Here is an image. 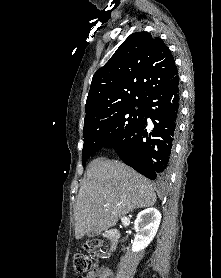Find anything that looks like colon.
Returning <instances> with one entry per match:
<instances>
[{"label":"colon","mask_w":221,"mask_h":278,"mask_svg":"<svg viewBox=\"0 0 221 278\" xmlns=\"http://www.w3.org/2000/svg\"><path fill=\"white\" fill-rule=\"evenodd\" d=\"M103 246L102 241H94L88 245V249H100ZM72 267L79 278H84L83 275H90L94 271V265L92 260L82 254H76L72 258Z\"/></svg>","instance_id":"1"}]
</instances>
